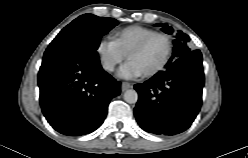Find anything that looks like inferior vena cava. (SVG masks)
Instances as JSON below:
<instances>
[{
  "label": "inferior vena cava",
  "instance_id": "1",
  "mask_svg": "<svg viewBox=\"0 0 248 158\" xmlns=\"http://www.w3.org/2000/svg\"><path fill=\"white\" fill-rule=\"evenodd\" d=\"M105 69H107V70H109V71H113L114 66H113V65H107V66L105 67Z\"/></svg>",
  "mask_w": 248,
  "mask_h": 158
}]
</instances>
